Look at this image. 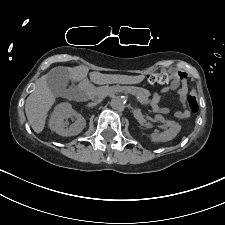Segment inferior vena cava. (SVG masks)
<instances>
[{"label":"inferior vena cava","mask_w":225,"mask_h":225,"mask_svg":"<svg viewBox=\"0 0 225 225\" xmlns=\"http://www.w3.org/2000/svg\"><path fill=\"white\" fill-rule=\"evenodd\" d=\"M102 101V97L94 98L92 102L88 104L89 107L95 106Z\"/></svg>","instance_id":"inferior-vena-cava-1"}]
</instances>
